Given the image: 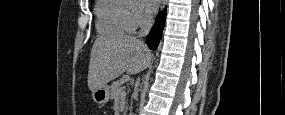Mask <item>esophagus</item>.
<instances>
[{"label":"esophagus","mask_w":285,"mask_h":115,"mask_svg":"<svg viewBox=\"0 0 285 115\" xmlns=\"http://www.w3.org/2000/svg\"><path fill=\"white\" fill-rule=\"evenodd\" d=\"M165 4H166V0H163V2H162V8L165 6Z\"/></svg>","instance_id":"1"}]
</instances>
